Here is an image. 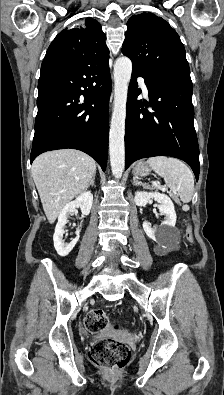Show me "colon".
I'll return each instance as SVG.
<instances>
[{"label":"colon","instance_id":"colon-1","mask_svg":"<svg viewBox=\"0 0 224 395\" xmlns=\"http://www.w3.org/2000/svg\"><path fill=\"white\" fill-rule=\"evenodd\" d=\"M186 237L192 241V231L188 228ZM86 329L91 333H99L109 325L106 312L102 309L91 310L84 319ZM131 357V350L126 343L114 339H98L90 349V358L98 366L118 370L124 368Z\"/></svg>","mask_w":224,"mask_h":395}]
</instances>
